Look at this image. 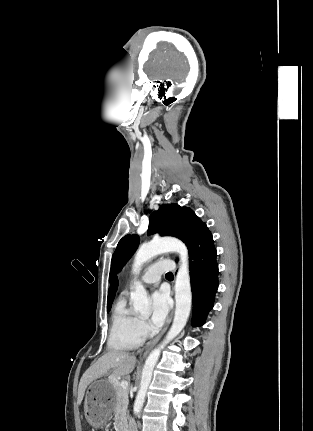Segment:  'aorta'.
<instances>
[{
  "instance_id": "aorta-1",
  "label": "aorta",
  "mask_w": 313,
  "mask_h": 431,
  "mask_svg": "<svg viewBox=\"0 0 313 431\" xmlns=\"http://www.w3.org/2000/svg\"><path fill=\"white\" fill-rule=\"evenodd\" d=\"M177 252L180 257V266L175 281V299L176 309L172 326L167 333L163 342L148 355L140 381V387L137 392L133 412L138 415L144 405L146 393L150 385L153 370L158 362L161 350L172 341L185 327L191 311L192 293L190 286L188 250L186 245L176 238H159L153 239L147 244L139 247L135 254L133 263V273L138 274L142 265L153 257L165 253ZM134 310L141 313L148 312L149 299L143 285L136 282L135 291L131 295Z\"/></svg>"
}]
</instances>
